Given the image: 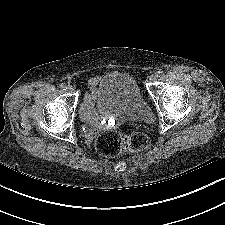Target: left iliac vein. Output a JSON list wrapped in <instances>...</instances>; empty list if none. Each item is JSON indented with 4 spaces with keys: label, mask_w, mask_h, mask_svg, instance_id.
I'll return each mask as SVG.
<instances>
[{
    "label": "left iliac vein",
    "mask_w": 225,
    "mask_h": 225,
    "mask_svg": "<svg viewBox=\"0 0 225 225\" xmlns=\"http://www.w3.org/2000/svg\"><path fill=\"white\" fill-rule=\"evenodd\" d=\"M156 79H157L156 75H150V76H149V80H150L151 82H155Z\"/></svg>",
    "instance_id": "left-iliac-vein-1"
}]
</instances>
